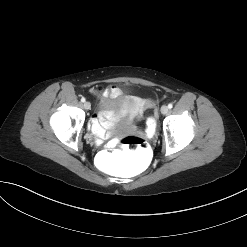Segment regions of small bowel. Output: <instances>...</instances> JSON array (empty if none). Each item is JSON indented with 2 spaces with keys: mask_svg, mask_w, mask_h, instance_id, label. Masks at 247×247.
Instances as JSON below:
<instances>
[{
  "mask_svg": "<svg viewBox=\"0 0 247 247\" xmlns=\"http://www.w3.org/2000/svg\"><path fill=\"white\" fill-rule=\"evenodd\" d=\"M118 90L116 88H110L104 92V94H109V93H116ZM100 118L94 119L93 120V132L97 137V141L101 142L103 139H106L109 137V133L105 132V130L100 126ZM114 145L113 141H109L107 143L108 147H112Z\"/></svg>",
  "mask_w": 247,
  "mask_h": 247,
  "instance_id": "small-bowel-1",
  "label": "small bowel"
}]
</instances>
